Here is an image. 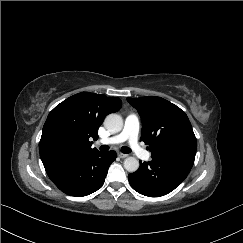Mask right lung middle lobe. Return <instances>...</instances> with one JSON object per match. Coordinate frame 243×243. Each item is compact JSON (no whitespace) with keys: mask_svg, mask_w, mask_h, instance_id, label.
<instances>
[{"mask_svg":"<svg viewBox=\"0 0 243 243\" xmlns=\"http://www.w3.org/2000/svg\"><path fill=\"white\" fill-rule=\"evenodd\" d=\"M68 144V139L63 133L55 132L49 135L47 147L53 153H61Z\"/></svg>","mask_w":243,"mask_h":243,"instance_id":"1","label":"right lung middle lobe"}]
</instances>
